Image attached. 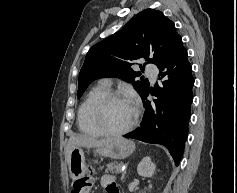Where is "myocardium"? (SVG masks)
Here are the masks:
<instances>
[{
    "mask_svg": "<svg viewBox=\"0 0 237 193\" xmlns=\"http://www.w3.org/2000/svg\"><path fill=\"white\" fill-rule=\"evenodd\" d=\"M112 100H127V101L132 102L135 107V114H134V118H133L132 122L122 130H118V131L110 130V129L106 128L105 126H103V124L101 123V112L103 110V107L105 106L106 103H108L109 101H112ZM140 114H141V108H140L139 103L135 99L128 97V96H126L122 93H119V92L107 91V92L103 93L94 102V104L91 108L90 116H91L92 124L95 126V128L102 135L119 137V136H123V135L129 133L131 130H133V128L137 125V123L139 121Z\"/></svg>",
    "mask_w": 237,
    "mask_h": 193,
    "instance_id": "myocardium-1",
    "label": "myocardium"
}]
</instances>
